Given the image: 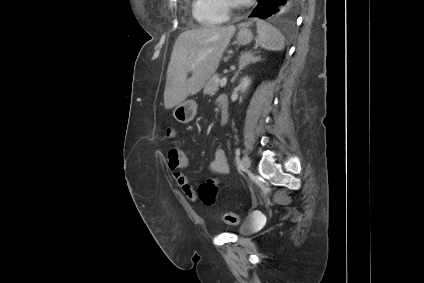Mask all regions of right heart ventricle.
<instances>
[{"mask_svg":"<svg viewBox=\"0 0 424 283\" xmlns=\"http://www.w3.org/2000/svg\"><path fill=\"white\" fill-rule=\"evenodd\" d=\"M192 13L195 20L205 27L219 25L226 19L219 0H193Z\"/></svg>","mask_w":424,"mask_h":283,"instance_id":"right-heart-ventricle-1","label":"right heart ventricle"}]
</instances>
